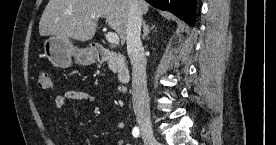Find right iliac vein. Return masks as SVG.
<instances>
[{
  "mask_svg": "<svg viewBox=\"0 0 276 145\" xmlns=\"http://www.w3.org/2000/svg\"><path fill=\"white\" fill-rule=\"evenodd\" d=\"M138 124L141 128V133L148 145H156L157 140L155 138L152 122L149 115H138L137 116Z\"/></svg>",
  "mask_w": 276,
  "mask_h": 145,
  "instance_id": "1",
  "label": "right iliac vein"
}]
</instances>
